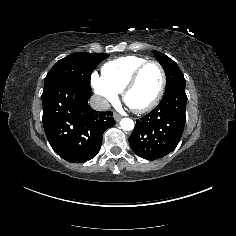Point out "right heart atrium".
Returning <instances> with one entry per match:
<instances>
[{
	"instance_id": "obj_1",
	"label": "right heart atrium",
	"mask_w": 236,
	"mask_h": 236,
	"mask_svg": "<svg viewBox=\"0 0 236 236\" xmlns=\"http://www.w3.org/2000/svg\"><path fill=\"white\" fill-rule=\"evenodd\" d=\"M90 84L102 105H108L117 100L118 93L113 91L97 72L91 74Z\"/></svg>"
}]
</instances>
